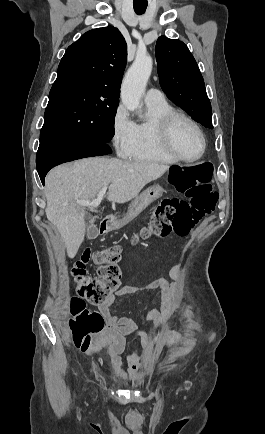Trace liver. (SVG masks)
Returning a JSON list of instances; mask_svg holds the SVG:
<instances>
[{
	"label": "liver",
	"mask_w": 265,
	"mask_h": 434,
	"mask_svg": "<svg viewBox=\"0 0 265 434\" xmlns=\"http://www.w3.org/2000/svg\"><path fill=\"white\" fill-rule=\"evenodd\" d=\"M169 168L158 162H124L117 158H84L72 166L53 168L45 180V214L56 226L67 256L75 258L85 236V208L76 200H94L101 188L110 184L107 200L125 204Z\"/></svg>",
	"instance_id": "liver-1"
}]
</instances>
